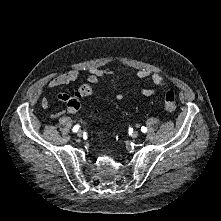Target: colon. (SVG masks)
Segmentation results:
<instances>
[{"instance_id": "5ec220e1", "label": "colon", "mask_w": 221, "mask_h": 221, "mask_svg": "<svg viewBox=\"0 0 221 221\" xmlns=\"http://www.w3.org/2000/svg\"><path fill=\"white\" fill-rule=\"evenodd\" d=\"M93 87L91 85H84L79 89L78 96L73 98L72 106L76 110L80 107V100L93 93ZM164 107L168 112H173L176 109V95L174 92L169 91L164 96Z\"/></svg>"}]
</instances>
